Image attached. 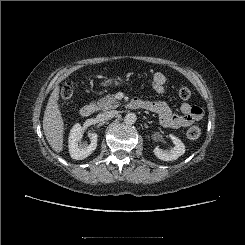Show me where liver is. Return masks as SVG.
<instances>
[{
  "label": "liver",
  "instance_id": "6515ba94",
  "mask_svg": "<svg viewBox=\"0 0 245 245\" xmlns=\"http://www.w3.org/2000/svg\"><path fill=\"white\" fill-rule=\"evenodd\" d=\"M60 87L50 94L43 117V130L51 148L60 153L63 150L64 121L58 105Z\"/></svg>",
  "mask_w": 245,
  "mask_h": 245
}]
</instances>
